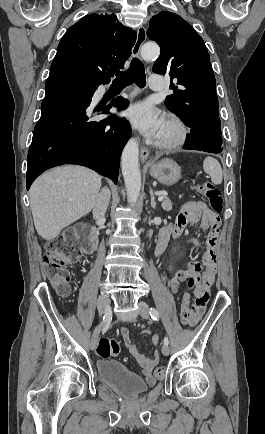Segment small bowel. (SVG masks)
Returning a JSON list of instances; mask_svg holds the SVG:
<instances>
[{
  "mask_svg": "<svg viewBox=\"0 0 265 434\" xmlns=\"http://www.w3.org/2000/svg\"><path fill=\"white\" fill-rule=\"evenodd\" d=\"M188 225H200V227L208 232V249L204 256L203 263L206 270L202 275V268L199 263L190 262L186 267L176 270L174 276L169 281V288L172 294L176 295L179 291L181 282L190 275L193 280H201L199 286L194 290L195 303L189 308L191 319L196 325L203 317L207 304L210 299V287L215 279V247L220 227V217L217 213L208 208L203 201H191L185 203L178 212L176 219L163 227L159 234V239H162L167 246L170 239L178 240L182 236L185 228ZM158 239V240H159ZM187 242L193 245H198L199 241L195 237L187 239ZM196 275V276H195ZM120 335L126 348L140 361L144 368V376L149 385L155 383V378L152 375V369L158 359V353L155 352L153 357H147L138 352L136 344L132 341L127 327L120 329ZM159 341V336L156 334L151 339L152 346H156Z\"/></svg>",
  "mask_w": 265,
  "mask_h": 434,
  "instance_id": "c3829d8e",
  "label": "small bowel"
}]
</instances>
